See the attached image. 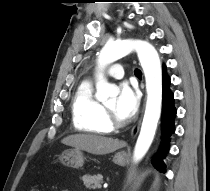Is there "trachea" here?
I'll use <instances>...</instances> for the list:
<instances>
[{
	"mask_svg": "<svg viewBox=\"0 0 210 191\" xmlns=\"http://www.w3.org/2000/svg\"><path fill=\"white\" fill-rule=\"evenodd\" d=\"M135 75H136V76H141V71L138 70V69H136V70H135Z\"/></svg>",
	"mask_w": 210,
	"mask_h": 191,
	"instance_id": "3493384b",
	"label": "trachea"
}]
</instances>
